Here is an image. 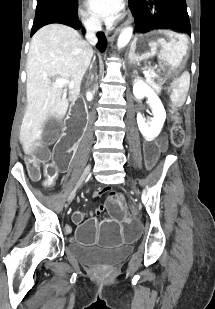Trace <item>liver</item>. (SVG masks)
I'll return each mask as SVG.
<instances>
[{"instance_id":"liver-1","label":"liver","mask_w":215,"mask_h":309,"mask_svg":"<svg viewBox=\"0 0 215 309\" xmlns=\"http://www.w3.org/2000/svg\"><path fill=\"white\" fill-rule=\"evenodd\" d=\"M93 52L90 42L65 24H46L32 36L26 64L28 104L19 136L25 152L40 146L49 118H64L69 100H76L80 94ZM53 76L68 80L69 98L64 88L53 86Z\"/></svg>"}]
</instances>
